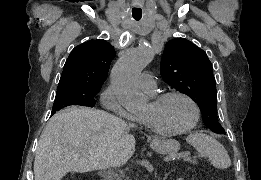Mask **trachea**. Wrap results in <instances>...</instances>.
<instances>
[{"instance_id": "1", "label": "trachea", "mask_w": 261, "mask_h": 180, "mask_svg": "<svg viewBox=\"0 0 261 180\" xmlns=\"http://www.w3.org/2000/svg\"><path fill=\"white\" fill-rule=\"evenodd\" d=\"M132 16L135 20H140L142 17L141 9H132Z\"/></svg>"}]
</instances>
